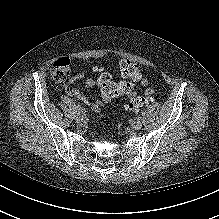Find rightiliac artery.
Wrapping results in <instances>:
<instances>
[{
    "label": "right iliac artery",
    "instance_id": "obj_1",
    "mask_svg": "<svg viewBox=\"0 0 219 219\" xmlns=\"http://www.w3.org/2000/svg\"><path fill=\"white\" fill-rule=\"evenodd\" d=\"M77 110H78L79 113H83L84 112V109L82 107H80V106L77 107Z\"/></svg>",
    "mask_w": 219,
    "mask_h": 219
}]
</instances>
